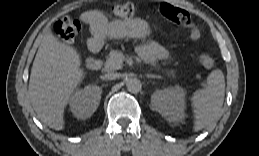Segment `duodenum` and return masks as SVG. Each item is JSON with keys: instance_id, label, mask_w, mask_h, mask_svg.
Masks as SVG:
<instances>
[{"instance_id": "410a0bca", "label": "duodenum", "mask_w": 259, "mask_h": 156, "mask_svg": "<svg viewBox=\"0 0 259 156\" xmlns=\"http://www.w3.org/2000/svg\"><path fill=\"white\" fill-rule=\"evenodd\" d=\"M90 48L92 50H98L100 48V43L98 41H94L91 45ZM102 66V62L99 59L96 58H88L86 60V67L89 70H98Z\"/></svg>"}]
</instances>
